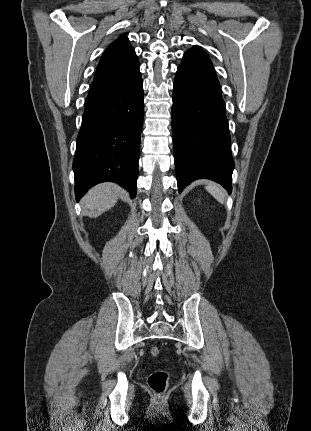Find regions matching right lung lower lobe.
Returning a JSON list of instances; mask_svg holds the SVG:
<instances>
[{
	"instance_id": "right-lung-lower-lobe-1",
	"label": "right lung lower lobe",
	"mask_w": 311,
	"mask_h": 431,
	"mask_svg": "<svg viewBox=\"0 0 311 431\" xmlns=\"http://www.w3.org/2000/svg\"><path fill=\"white\" fill-rule=\"evenodd\" d=\"M143 83L139 65L127 74L92 85L73 160L79 200L93 185L112 181L136 196Z\"/></svg>"
}]
</instances>
